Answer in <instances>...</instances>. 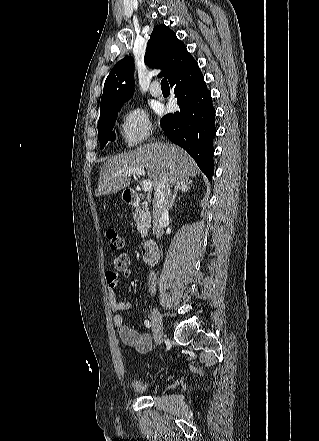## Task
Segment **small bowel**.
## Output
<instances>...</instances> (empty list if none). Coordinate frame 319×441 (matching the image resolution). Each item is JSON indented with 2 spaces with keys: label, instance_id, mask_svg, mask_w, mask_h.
Instances as JSON below:
<instances>
[{
  "label": "small bowel",
  "instance_id": "1",
  "mask_svg": "<svg viewBox=\"0 0 319 441\" xmlns=\"http://www.w3.org/2000/svg\"><path fill=\"white\" fill-rule=\"evenodd\" d=\"M130 258L126 254H121L114 260V271H107L105 279L107 283L109 305L114 315V325L117 328L122 342L133 347L141 354L147 353L152 348V338L148 333H139L135 329L124 324L120 311H127L131 308V303L122 300L118 296L119 273L128 277L131 273Z\"/></svg>",
  "mask_w": 319,
  "mask_h": 441
}]
</instances>
